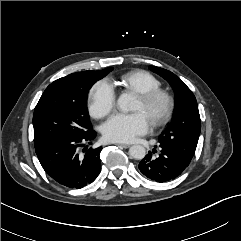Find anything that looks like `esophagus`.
I'll return each instance as SVG.
<instances>
[{
    "instance_id": "34e87169",
    "label": "esophagus",
    "mask_w": 241,
    "mask_h": 241,
    "mask_svg": "<svg viewBox=\"0 0 241 241\" xmlns=\"http://www.w3.org/2000/svg\"><path fill=\"white\" fill-rule=\"evenodd\" d=\"M117 145H119V146H121V147H123V148H129V147H130L129 144H117Z\"/></svg>"
}]
</instances>
